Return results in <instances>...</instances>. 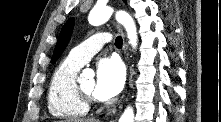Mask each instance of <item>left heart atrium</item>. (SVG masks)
Instances as JSON below:
<instances>
[{
	"label": "left heart atrium",
	"mask_w": 221,
	"mask_h": 122,
	"mask_svg": "<svg viewBox=\"0 0 221 122\" xmlns=\"http://www.w3.org/2000/svg\"><path fill=\"white\" fill-rule=\"evenodd\" d=\"M125 71L116 57L102 58L97 65L94 96L101 101L115 97L122 90Z\"/></svg>",
	"instance_id": "1"
}]
</instances>
